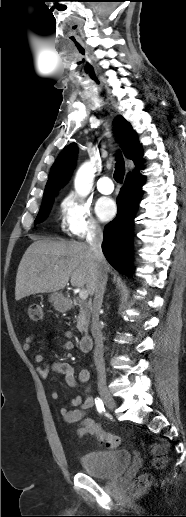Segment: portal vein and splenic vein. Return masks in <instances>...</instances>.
I'll return each instance as SVG.
<instances>
[{"mask_svg":"<svg viewBox=\"0 0 186 517\" xmlns=\"http://www.w3.org/2000/svg\"><path fill=\"white\" fill-rule=\"evenodd\" d=\"M79 297H80V299H82V300H86V299L88 298V292H87V290H85V289H81V290L79 291Z\"/></svg>","mask_w":186,"mask_h":517,"instance_id":"18ae733b","label":"portal vein and splenic vein"}]
</instances>
